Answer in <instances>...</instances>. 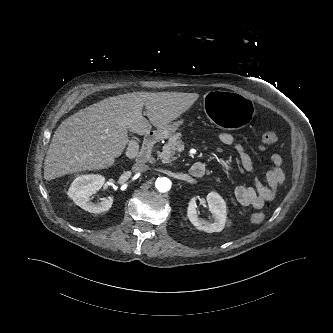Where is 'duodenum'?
I'll return each instance as SVG.
<instances>
[{"instance_id": "1", "label": "duodenum", "mask_w": 333, "mask_h": 333, "mask_svg": "<svg viewBox=\"0 0 333 333\" xmlns=\"http://www.w3.org/2000/svg\"><path fill=\"white\" fill-rule=\"evenodd\" d=\"M159 137L160 135L157 132H151L146 136L141 150L136 157V162L138 164H147L150 162L153 155V149ZM190 172L195 178H201L205 174V166L201 162H196L191 166Z\"/></svg>"}]
</instances>
